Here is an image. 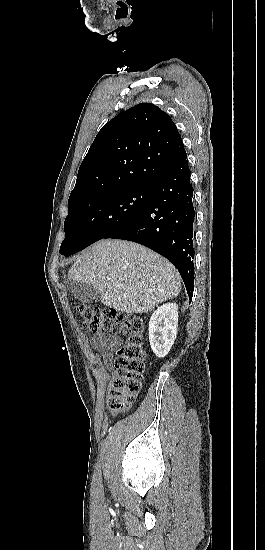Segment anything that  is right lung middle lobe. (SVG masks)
<instances>
[{
    "instance_id": "obj_1",
    "label": "right lung middle lobe",
    "mask_w": 265,
    "mask_h": 550,
    "mask_svg": "<svg viewBox=\"0 0 265 550\" xmlns=\"http://www.w3.org/2000/svg\"><path fill=\"white\" fill-rule=\"evenodd\" d=\"M151 189L131 188L69 203L60 253L70 256L135 219L146 207Z\"/></svg>"
}]
</instances>
